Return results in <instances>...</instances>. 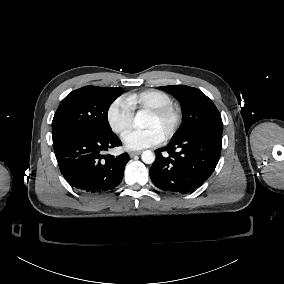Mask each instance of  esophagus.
<instances>
[{
	"instance_id": "1",
	"label": "esophagus",
	"mask_w": 284,
	"mask_h": 284,
	"mask_svg": "<svg viewBox=\"0 0 284 284\" xmlns=\"http://www.w3.org/2000/svg\"><path fill=\"white\" fill-rule=\"evenodd\" d=\"M141 153H142V151H131V152H129V156L131 158H133L134 156L139 155Z\"/></svg>"
}]
</instances>
